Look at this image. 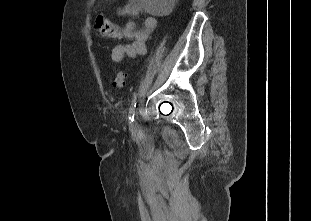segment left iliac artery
I'll return each mask as SVG.
<instances>
[{
  "label": "left iliac artery",
  "mask_w": 311,
  "mask_h": 221,
  "mask_svg": "<svg viewBox=\"0 0 311 221\" xmlns=\"http://www.w3.org/2000/svg\"><path fill=\"white\" fill-rule=\"evenodd\" d=\"M136 104H137V94L134 95V97L131 101V104H130V108H129V121H130V123L134 122Z\"/></svg>",
  "instance_id": "44dca946"
}]
</instances>
